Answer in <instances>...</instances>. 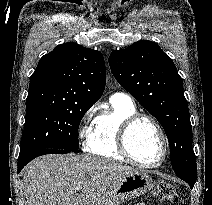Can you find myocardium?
<instances>
[{
	"label": "myocardium",
	"instance_id": "1",
	"mask_svg": "<svg viewBox=\"0 0 212 205\" xmlns=\"http://www.w3.org/2000/svg\"><path fill=\"white\" fill-rule=\"evenodd\" d=\"M140 120L149 121L157 130L161 143H162V155L161 158L153 163H144L137 160L130 152L128 147V136L132 127ZM117 147L123 157L129 162L143 168H154L160 166L167 158L168 155V142L165 132L160 123L152 116L144 113H134L127 117L120 125L117 133Z\"/></svg>",
	"mask_w": 212,
	"mask_h": 205
}]
</instances>
